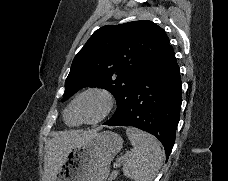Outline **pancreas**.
<instances>
[{
    "instance_id": "1",
    "label": "pancreas",
    "mask_w": 228,
    "mask_h": 181,
    "mask_svg": "<svg viewBox=\"0 0 228 181\" xmlns=\"http://www.w3.org/2000/svg\"><path fill=\"white\" fill-rule=\"evenodd\" d=\"M119 175V171H113V173H111L108 181H114V179H116V177H118Z\"/></svg>"
}]
</instances>
